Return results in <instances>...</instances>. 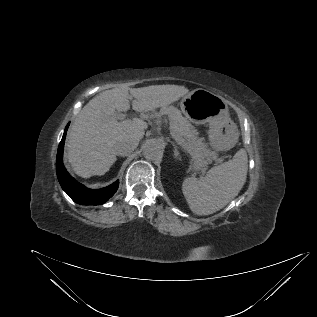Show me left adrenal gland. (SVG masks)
<instances>
[{
    "mask_svg": "<svg viewBox=\"0 0 317 317\" xmlns=\"http://www.w3.org/2000/svg\"><path fill=\"white\" fill-rule=\"evenodd\" d=\"M171 144L174 147V156H175V158H178L179 157V151L177 149V145L174 142H171Z\"/></svg>",
    "mask_w": 317,
    "mask_h": 317,
    "instance_id": "a2214340",
    "label": "left adrenal gland"
}]
</instances>
